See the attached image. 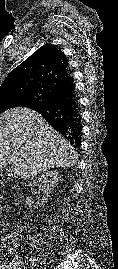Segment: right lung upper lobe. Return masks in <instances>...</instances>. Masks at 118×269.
I'll use <instances>...</instances> for the list:
<instances>
[{
	"label": "right lung upper lobe",
	"mask_w": 118,
	"mask_h": 269,
	"mask_svg": "<svg viewBox=\"0 0 118 269\" xmlns=\"http://www.w3.org/2000/svg\"><path fill=\"white\" fill-rule=\"evenodd\" d=\"M73 83L66 56L47 43L8 74L0 86V97L31 96L43 103Z\"/></svg>",
	"instance_id": "right-lung-upper-lobe-1"
}]
</instances>
